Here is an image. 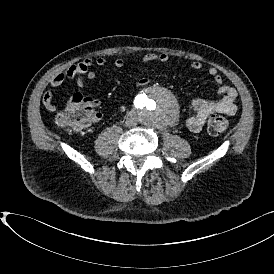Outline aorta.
Segmentation results:
<instances>
[{
	"label": "aorta",
	"mask_w": 274,
	"mask_h": 274,
	"mask_svg": "<svg viewBox=\"0 0 274 274\" xmlns=\"http://www.w3.org/2000/svg\"><path fill=\"white\" fill-rule=\"evenodd\" d=\"M144 125L160 128L170 125L179 115V105L173 93L161 86L146 88L136 99Z\"/></svg>",
	"instance_id": "762f6f07"
}]
</instances>
